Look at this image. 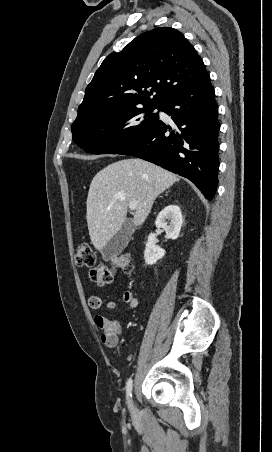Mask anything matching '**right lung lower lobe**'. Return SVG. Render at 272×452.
<instances>
[{"label": "right lung lower lobe", "mask_w": 272, "mask_h": 452, "mask_svg": "<svg viewBox=\"0 0 272 452\" xmlns=\"http://www.w3.org/2000/svg\"><path fill=\"white\" fill-rule=\"evenodd\" d=\"M173 120L160 119L118 154L135 156L192 181L208 200L218 183V109L210 78L161 106Z\"/></svg>", "instance_id": "98d812e1"}]
</instances>
